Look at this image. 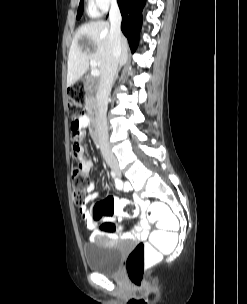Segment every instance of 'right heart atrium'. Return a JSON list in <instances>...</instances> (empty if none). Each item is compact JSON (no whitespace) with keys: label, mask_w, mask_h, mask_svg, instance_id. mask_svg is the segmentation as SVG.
<instances>
[{"label":"right heart atrium","mask_w":247,"mask_h":304,"mask_svg":"<svg viewBox=\"0 0 247 304\" xmlns=\"http://www.w3.org/2000/svg\"><path fill=\"white\" fill-rule=\"evenodd\" d=\"M116 0H90V5L98 12L107 11Z\"/></svg>","instance_id":"right-heart-atrium-1"}]
</instances>
